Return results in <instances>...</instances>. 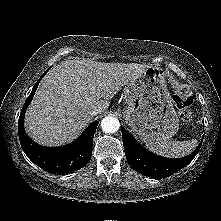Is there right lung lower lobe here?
I'll use <instances>...</instances> for the list:
<instances>
[{
    "label": "right lung lower lobe",
    "mask_w": 221,
    "mask_h": 221,
    "mask_svg": "<svg viewBox=\"0 0 221 221\" xmlns=\"http://www.w3.org/2000/svg\"><path fill=\"white\" fill-rule=\"evenodd\" d=\"M47 71L38 79L21 110L18 120L19 140L23 151L33 163L47 172L65 174L78 170L89 162L92 154V141L98 122L91 123L82 135L69 145L45 147L31 140L24 130V115L37 90L39 81Z\"/></svg>",
    "instance_id": "right-lung-lower-lobe-1"
}]
</instances>
